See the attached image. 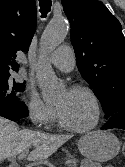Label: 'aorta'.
Wrapping results in <instances>:
<instances>
[{
    "label": "aorta",
    "instance_id": "1",
    "mask_svg": "<svg viewBox=\"0 0 125 167\" xmlns=\"http://www.w3.org/2000/svg\"><path fill=\"white\" fill-rule=\"evenodd\" d=\"M68 33V23L64 17L55 18L45 28L41 37L43 56L37 69V81L42 91L43 100L51 103L61 93L63 86L58 81L52 67L46 61V55L58 47Z\"/></svg>",
    "mask_w": 125,
    "mask_h": 167
}]
</instances>
